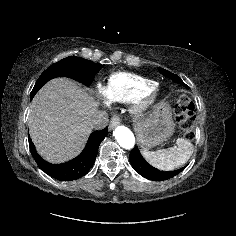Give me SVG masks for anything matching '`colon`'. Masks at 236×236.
I'll use <instances>...</instances> for the list:
<instances>
[{
  "mask_svg": "<svg viewBox=\"0 0 236 236\" xmlns=\"http://www.w3.org/2000/svg\"><path fill=\"white\" fill-rule=\"evenodd\" d=\"M175 113L178 124L184 131L187 138H193L194 129V113L192 111V101L186 96L182 95L176 102Z\"/></svg>",
  "mask_w": 236,
  "mask_h": 236,
  "instance_id": "1",
  "label": "colon"
}]
</instances>
